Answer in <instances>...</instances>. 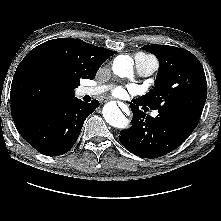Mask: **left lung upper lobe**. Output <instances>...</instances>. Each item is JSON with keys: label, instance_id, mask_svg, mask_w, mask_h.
<instances>
[{"label": "left lung upper lobe", "instance_id": "left-lung-upper-lobe-1", "mask_svg": "<svg viewBox=\"0 0 221 221\" xmlns=\"http://www.w3.org/2000/svg\"><path fill=\"white\" fill-rule=\"evenodd\" d=\"M142 49L158 58L159 70L155 87L137 98L138 103L197 125L207 98L200 61L188 50L174 46L146 45Z\"/></svg>", "mask_w": 221, "mask_h": 221}]
</instances>
